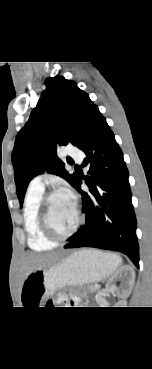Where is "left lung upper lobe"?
Listing matches in <instances>:
<instances>
[{
    "label": "left lung upper lobe",
    "mask_w": 152,
    "mask_h": 369,
    "mask_svg": "<svg viewBox=\"0 0 152 369\" xmlns=\"http://www.w3.org/2000/svg\"><path fill=\"white\" fill-rule=\"evenodd\" d=\"M45 84L46 90L16 136L12 153L21 206L30 180L45 170L74 186L78 176L64 169V163L57 157V148L68 143L77 146L98 109L74 81L57 75L47 78Z\"/></svg>",
    "instance_id": "5c2ea615"
}]
</instances>
